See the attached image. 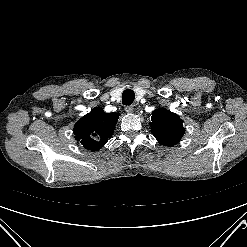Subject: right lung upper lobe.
<instances>
[{
  "label": "right lung upper lobe",
  "instance_id": "right-lung-upper-lobe-1",
  "mask_svg": "<svg viewBox=\"0 0 247 247\" xmlns=\"http://www.w3.org/2000/svg\"><path fill=\"white\" fill-rule=\"evenodd\" d=\"M118 118L119 113H105L95 107L75 124V138L86 149L98 151L113 134Z\"/></svg>",
  "mask_w": 247,
  "mask_h": 247
}]
</instances>
